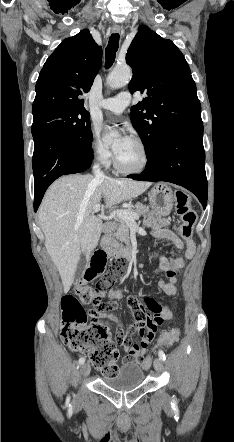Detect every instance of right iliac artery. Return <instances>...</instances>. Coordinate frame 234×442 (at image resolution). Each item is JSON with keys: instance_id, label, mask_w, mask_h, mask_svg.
<instances>
[{"instance_id": "right-iliac-artery-1", "label": "right iliac artery", "mask_w": 234, "mask_h": 442, "mask_svg": "<svg viewBox=\"0 0 234 442\" xmlns=\"http://www.w3.org/2000/svg\"><path fill=\"white\" fill-rule=\"evenodd\" d=\"M84 362H85V358L81 357V358L79 359V365L84 364Z\"/></svg>"}]
</instances>
